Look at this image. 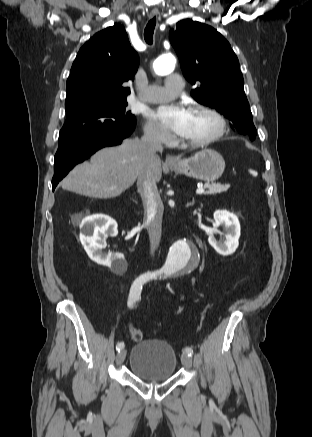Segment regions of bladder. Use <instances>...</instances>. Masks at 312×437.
Returning a JSON list of instances; mask_svg holds the SVG:
<instances>
[{
  "instance_id": "1",
  "label": "bladder",
  "mask_w": 312,
  "mask_h": 437,
  "mask_svg": "<svg viewBox=\"0 0 312 437\" xmlns=\"http://www.w3.org/2000/svg\"><path fill=\"white\" fill-rule=\"evenodd\" d=\"M177 356L172 346L161 339H147L135 344L129 358L130 371L153 383L170 379L176 370Z\"/></svg>"
}]
</instances>
